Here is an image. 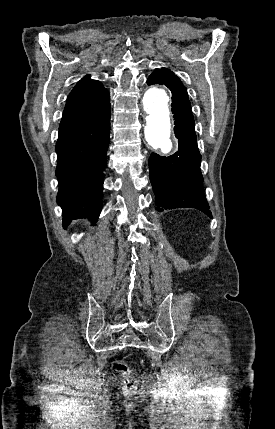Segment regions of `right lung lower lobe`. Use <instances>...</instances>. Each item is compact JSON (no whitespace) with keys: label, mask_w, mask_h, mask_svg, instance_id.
Here are the masks:
<instances>
[{"label":"right lung lower lobe","mask_w":275,"mask_h":429,"mask_svg":"<svg viewBox=\"0 0 275 429\" xmlns=\"http://www.w3.org/2000/svg\"><path fill=\"white\" fill-rule=\"evenodd\" d=\"M109 134L110 109L91 121L59 128L57 202L63 210L64 227L77 218L96 220L101 212Z\"/></svg>","instance_id":"right-lung-lower-lobe-1"}]
</instances>
